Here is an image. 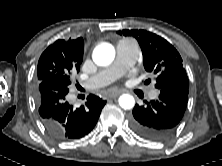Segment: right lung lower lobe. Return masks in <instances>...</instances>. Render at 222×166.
Wrapping results in <instances>:
<instances>
[{"mask_svg": "<svg viewBox=\"0 0 222 166\" xmlns=\"http://www.w3.org/2000/svg\"><path fill=\"white\" fill-rule=\"evenodd\" d=\"M36 101L42 123L48 133L59 141L79 139L96 125L106 104L96 95H89L84 106L73 108L66 101L68 86L57 80L38 82Z\"/></svg>", "mask_w": 222, "mask_h": 166, "instance_id": "98d812e1", "label": "right lung lower lobe"}]
</instances>
